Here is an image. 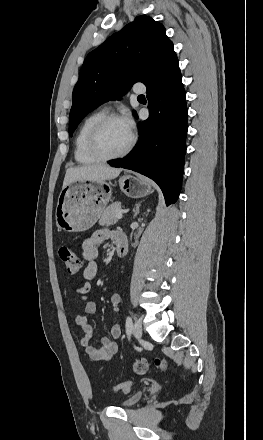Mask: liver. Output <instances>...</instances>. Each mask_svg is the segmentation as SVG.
<instances>
[{"mask_svg": "<svg viewBox=\"0 0 263 440\" xmlns=\"http://www.w3.org/2000/svg\"><path fill=\"white\" fill-rule=\"evenodd\" d=\"M120 168H113L107 164H93L72 167L66 170L63 187L73 181H90L101 183L115 179L121 173Z\"/></svg>", "mask_w": 263, "mask_h": 440, "instance_id": "6515ba94", "label": "liver"}]
</instances>
